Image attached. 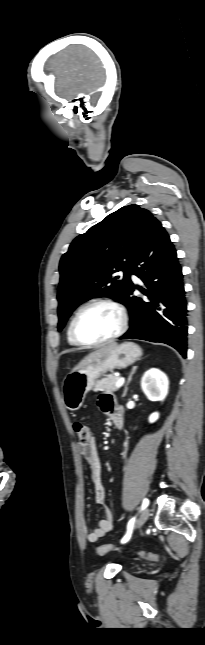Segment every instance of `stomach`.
Listing matches in <instances>:
<instances>
[{"mask_svg":"<svg viewBox=\"0 0 205 645\" xmlns=\"http://www.w3.org/2000/svg\"><path fill=\"white\" fill-rule=\"evenodd\" d=\"M141 349L132 342L117 345L108 355L94 361L84 368L70 372L64 379L62 390L66 408L76 411L84 403L86 394L93 388L96 380L109 370L127 367L141 357Z\"/></svg>","mask_w":205,"mask_h":645,"instance_id":"obj_1","label":"stomach"}]
</instances>
